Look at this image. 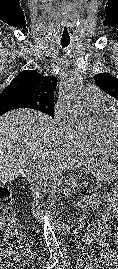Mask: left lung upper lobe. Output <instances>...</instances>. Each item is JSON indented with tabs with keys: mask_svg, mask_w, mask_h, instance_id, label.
<instances>
[{
	"mask_svg": "<svg viewBox=\"0 0 118 269\" xmlns=\"http://www.w3.org/2000/svg\"><path fill=\"white\" fill-rule=\"evenodd\" d=\"M98 86L109 95L118 99V79L108 73H100L94 77Z\"/></svg>",
	"mask_w": 118,
	"mask_h": 269,
	"instance_id": "5c2ea615",
	"label": "left lung upper lobe"
}]
</instances>
